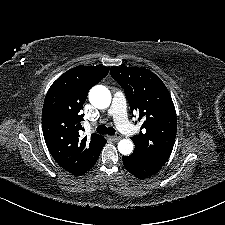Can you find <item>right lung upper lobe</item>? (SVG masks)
<instances>
[{"label":"right lung upper lobe","instance_id":"obj_1","mask_svg":"<svg viewBox=\"0 0 225 225\" xmlns=\"http://www.w3.org/2000/svg\"><path fill=\"white\" fill-rule=\"evenodd\" d=\"M109 72V67L77 66L49 88L42 110L44 139L52 157L73 175H82L97 162L106 139L93 133L82 137L80 122L87 94Z\"/></svg>","mask_w":225,"mask_h":225}]
</instances>
